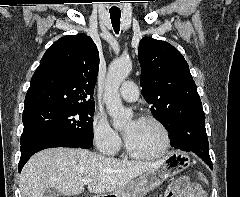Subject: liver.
Masks as SVG:
<instances>
[{"mask_svg":"<svg viewBox=\"0 0 240 197\" xmlns=\"http://www.w3.org/2000/svg\"><path fill=\"white\" fill-rule=\"evenodd\" d=\"M163 160V159H162ZM162 160L139 162L119 160L78 148H50L34 154L20 174L21 197H43L47 189L71 196L84 191L94 194L115 193Z\"/></svg>","mask_w":240,"mask_h":197,"instance_id":"6515ba94","label":"liver"}]
</instances>
